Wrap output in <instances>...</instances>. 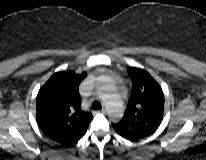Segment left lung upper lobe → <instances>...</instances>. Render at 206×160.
Wrapping results in <instances>:
<instances>
[{
	"label": "left lung upper lobe",
	"mask_w": 206,
	"mask_h": 160,
	"mask_svg": "<svg viewBox=\"0 0 206 160\" xmlns=\"http://www.w3.org/2000/svg\"><path fill=\"white\" fill-rule=\"evenodd\" d=\"M132 92L124 116L113 124L119 134L143 138L160 125L164 111V94L160 85L145 70L128 68Z\"/></svg>",
	"instance_id": "obj_1"
}]
</instances>
